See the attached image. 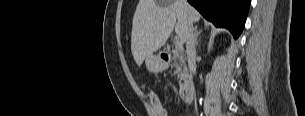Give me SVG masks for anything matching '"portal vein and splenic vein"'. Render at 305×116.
<instances>
[{"mask_svg": "<svg viewBox=\"0 0 305 116\" xmlns=\"http://www.w3.org/2000/svg\"><path fill=\"white\" fill-rule=\"evenodd\" d=\"M174 44H175L176 49H179L182 47V43L179 41L178 38H175Z\"/></svg>", "mask_w": 305, "mask_h": 116, "instance_id": "18ae733b", "label": "portal vein and splenic vein"}]
</instances>
